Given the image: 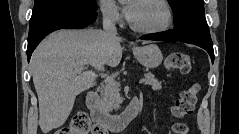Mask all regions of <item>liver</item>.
I'll return each instance as SVG.
<instances>
[{"mask_svg":"<svg viewBox=\"0 0 239 134\" xmlns=\"http://www.w3.org/2000/svg\"><path fill=\"white\" fill-rule=\"evenodd\" d=\"M121 38L102 30H60L50 34L35 49L30 60L39 101V125L44 134L67 120L75 98L88 90L97 74L76 73L77 66L102 70L116 67L122 58Z\"/></svg>","mask_w":239,"mask_h":134,"instance_id":"obj_1","label":"liver"}]
</instances>
